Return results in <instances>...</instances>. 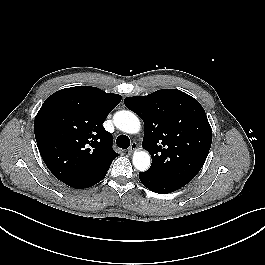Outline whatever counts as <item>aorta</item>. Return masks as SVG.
<instances>
[{
	"mask_svg": "<svg viewBox=\"0 0 265 265\" xmlns=\"http://www.w3.org/2000/svg\"><path fill=\"white\" fill-rule=\"evenodd\" d=\"M115 126L126 133L139 132L141 125L138 117L131 111L122 110L113 117ZM133 165L139 171H146L150 167V155L146 151H137L133 155Z\"/></svg>",
	"mask_w": 265,
	"mask_h": 265,
	"instance_id": "1",
	"label": "aorta"
}]
</instances>
